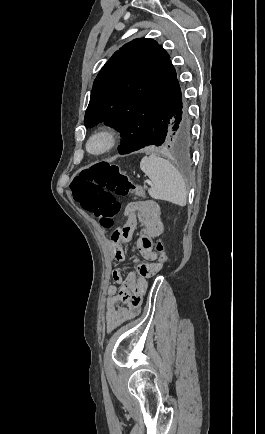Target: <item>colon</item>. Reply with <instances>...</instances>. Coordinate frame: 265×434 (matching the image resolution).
Returning <instances> with one entry per match:
<instances>
[{
    "label": "colon",
    "instance_id": "obj_1",
    "mask_svg": "<svg viewBox=\"0 0 265 434\" xmlns=\"http://www.w3.org/2000/svg\"><path fill=\"white\" fill-rule=\"evenodd\" d=\"M83 171L75 172L72 187L77 193H70L69 200L79 202L83 209L92 212L104 228L113 226L114 218L120 211L115 195L127 197L144 193L143 188L124 174L118 165L86 164ZM166 259L164 242L159 240L154 261L165 263Z\"/></svg>",
    "mask_w": 265,
    "mask_h": 434
}]
</instances>
